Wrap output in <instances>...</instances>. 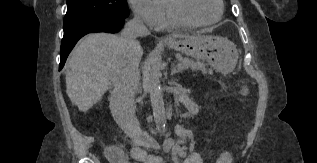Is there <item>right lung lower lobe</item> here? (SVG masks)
<instances>
[{
  "label": "right lung lower lobe",
  "mask_w": 317,
  "mask_h": 163,
  "mask_svg": "<svg viewBox=\"0 0 317 163\" xmlns=\"http://www.w3.org/2000/svg\"><path fill=\"white\" fill-rule=\"evenodd\" d=\"M124 19L125 18L121 17L106 16L91 20L70 30L64 31L61 43V60L59 70L63 68L69 53L81 37L92 32L116 33L120 31L123 26Z\"/></svg>",
  "instance_id": "obj_1"
}]
</instances>
